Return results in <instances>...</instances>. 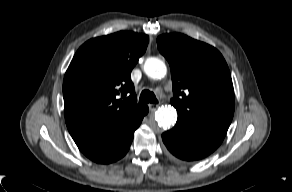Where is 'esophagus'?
<instances>
[{
    "instance_id": "obj_1",
    "label": "esophagus",
    "mask_w": 292,
    "mask_h": 192,
    "mask_svg": "<svg viewBox=\"0 0 292 192\" xmlns=\"http://www.w3.org/2000/svg\"><path fill=\"white\" fill-rule=\"evenodd\" d=\"M159 107V104H149V109L151 112L155 111Z\"/></svg>"
}]
</instances>
